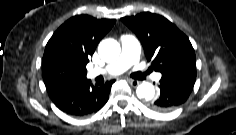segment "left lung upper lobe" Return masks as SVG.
Here are the masks:
<instances>
[{
    "label": "left lung upper lobe",
    "instance_id": "left-lung-upper-lobe-1",
    "mask_svg": "<svg viewBox=\"0 0 236 135\" xmlns=\"http://www.w3.org/2000/svg\"><path fill=\"white\" fill-rule=\"evenodd\" d=\"M121 20L141 41L151 68L164 74L196 73V57L188 37L161 15L150 12Z\"/></svg>",
    "mask_w": 236,
    "mask_h": 135
}]
</instances>
